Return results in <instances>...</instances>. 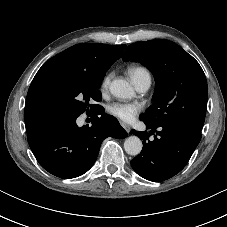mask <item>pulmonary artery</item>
Instances as JSON below:
<instances>
[{
    "label": "pulmonary artery",
    "instance_id": "pulmonary-artery-1",
    "mask_svg": "<svg viewBox=\"0 0 227 227\" xmlns=\"http://www.w3.org/2000/svg\"><path fill=\"white\" fill-rule=\"evenodd\" d=\"M151 85V77H143L135 83L139 92H146Z\"/></svg>",
    "mask_w": 227,
    "mask_h": 227
}]
</instances>
